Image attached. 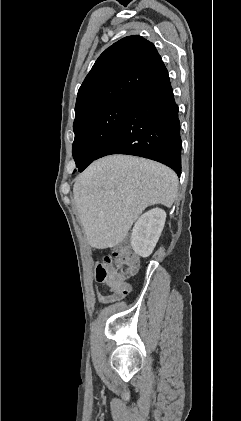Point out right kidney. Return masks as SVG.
I'll list each match as a JSON object with an SVG mask.
<instances>
[{
  "label": "right kidney",
  "mask_w": 241,
  "mask_h": 421,
  "mask_svg": "<svg viewBox=\"0 0 241 421\" xmlns=\"http://www.w3.org/2000/svg\"><path fill=\"white\" fill-rule=\"evenodd\" d=\"M166 212L160 208H154L141 215L135 223L131 246L136 254L148 257L156 246L164 228Z\"/></svg>",
  "instance_id": "obj_1"
}]
</instances>
